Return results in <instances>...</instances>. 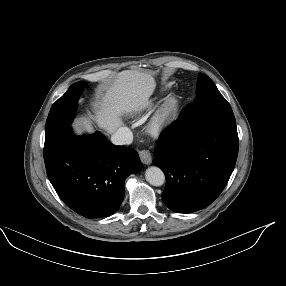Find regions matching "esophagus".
I'll list each match as a JSON object with an SVG mask.
<instances>
[{
  "label": "esophagus",
  "instance_id": "esophagus-1",
  "mask_svg": "<svg viewBox=\"0 0 286 286\" xmlns=\"http://www.w3.org/2000/svg\"><path fill=\"white\" fill-rule=\"evenodd\" d=\"M139 157L142 161V163L149 165L152 162V155L151 152L149 150H141L139 152Z\"/></svg>",
  "mask_w": 286,
  "mask_h": 286
}]
</instances>
